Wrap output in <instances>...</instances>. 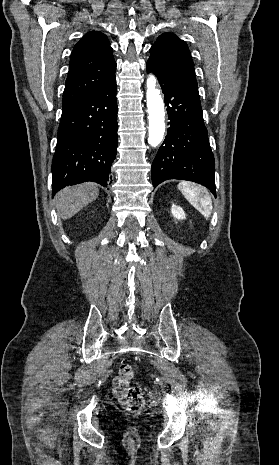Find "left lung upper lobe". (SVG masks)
Listing matches in <instances>:
<instances>
[{
    "label": "left lung upper lobe",
    "instance_id": "1",
    "mask_svg": "<svg viewBox=\"0 0 279 465\" xmlns=\"http://www.w3.org/2000/svg\"><path fill=\"white\" fill-rule=\"evenodd\" d=\"M149 60L178 74L186 75L195 82L194 63L188 46L173 33H163L150 49Z\"/></svg>",
    "mask_w": 279,
    "mask_h": 465
}]
</instances>
